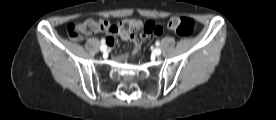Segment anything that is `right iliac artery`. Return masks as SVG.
Segmentation results:
<instances>
[{
    "label": "right iliac artery",
    "mask_w": 276,
    "mask_h": 120,
    "mask_svg": "<svg viewBox=\"0 0 276 120\" xmlns=\"http://www.w3.org/2000/svg\"><path fill=\"white\" fill-rule=\"evenodd\" d=\"M101 43H102V45H104V44L106 43V40H105V39H102V40H101Z\"/></svg>",
    "instance_id": "82829eb1"
}]
</instances>
